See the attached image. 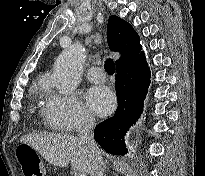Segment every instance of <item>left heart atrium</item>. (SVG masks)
<instances>
[{"instance_id":"1","label":"left heart atrium","mask_w":205,"mask_h":176,"mask_svg":"<svg viewBox=\"0 0 205 176\" xmlns=\"http://www.w3.org/2000/svg\"><path fill=\"white\" fill-rule=\"evenodd\" d=\"M90 109L99 116L108 115L116 105V99L110 89L102 86L90 88L86 94Z\"/></svg>"}]
</instances>
